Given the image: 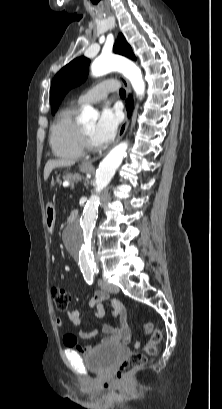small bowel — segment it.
I'll return each mask as SVG.
<instances>
[{
    "instance_id": "obj_1",
    "label": "small bowel",
    "mask_w": 222,
    "mask_h": 409,
    "mask_svg": "<svg viewBox=\"0 0 222 409\" xmlns=\"http://www.w3.org/2000/svg\"><path fill=\"white\" fill-rule=\"evenodd\" d=\"M109 299V295L104 291L96 292L88 301V308L94 310V315L96 318H103L105 315V302ZM109 306L111 309L112 316L118 320V326L112 327L109 325H103L95 327L92 331H86L84 329V321L82 318L81 311L74 309L68 311V317L70 321L79 328V338L83 340H88L93 338L99 333L107 334L103 337L97 344H117L123 343L128 345L131 342V331L127 320V314L122 301L118 298H111L109 300ZM56 324L58 326L62 325L61 318H56ZM65 344L77 350L81 353H86L91 350V347L83 346L76 337L69 335L66 337ZM139 346V343L136 344Z\"/></svg>"
}]
</instances>
